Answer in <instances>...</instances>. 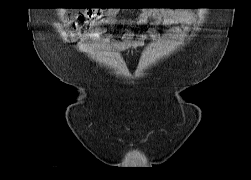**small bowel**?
Here are the masks:
<instances>
[{
  "instance_id": "1",
  "label": "small bowel",
  "mask_w": 251,
  "mask_h": 180,
  "mask_svg": "<svg viewBox=\"0 0 251 180\" xmlns=\"http://www.w3.org/2000/svg\"><path fill=\"white\" fill-rule=\"evenodd\" d=\"M76 15L82 20H87L93 24V27L88 32V36L92 39H98L102 34L101 29L97 27L98 24H112L117 21V12L114 10L92 9L86 12H78ZM193 20V13L187 10L156 9L140 12L134 22L142 25H179L182 27V30H186ZM149 37L160 40L162 35L157 32H151ZM141 40L142 38L135 33L128 31L122 35L116 46L118 49L126 50L137 46Z\"/></svg>"
}]
</instances>
